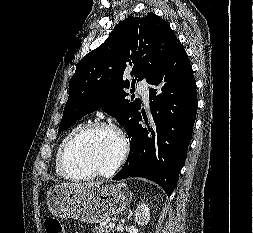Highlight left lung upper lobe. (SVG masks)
<instances>
[{
  "label": "left lung upper lobe",
  "instance_id": "left-lung-upper-lobe-1",
  "mask_svg": "<svg viewBox=\"0 0 253 233\" xmlns=\"http://www.w3.org/2000/svg\"><path fill=\"white\" fill-rule=\"evenodd\" d=\"M178 43L168 23L153 13L121 21L107 40L78 63L69 84V98L58 132L85 114L102 108L128 133L141 107L140 99H125L130 72L136 80L152 83L158 78Z\"/></svg>",
  "mask_w": 253,
  "mask_h": 233
}]
</instances>
